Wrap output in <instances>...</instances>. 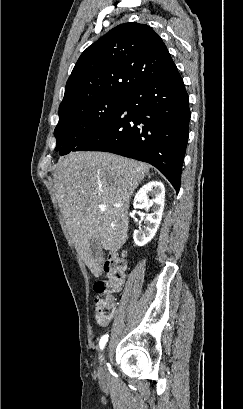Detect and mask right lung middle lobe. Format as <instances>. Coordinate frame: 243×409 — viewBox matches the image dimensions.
<instances>
[{
  "label": "right lung middle lobe",
  "mask_w": 243,
  "mask_h": 409,
  "mask_svg": "<svg viewBox=\"0 0 243 409\" xmlns=\"http://www.w3.org/2000/svg\"><path fill=\"white\" fill-rule=\"evenodd\" d=\"M125 97H99L59 109L54 135L60 155L73 151L81 142L109 125Z\"/></svg>",
  "instance_id": "1"
}]
</instances>
